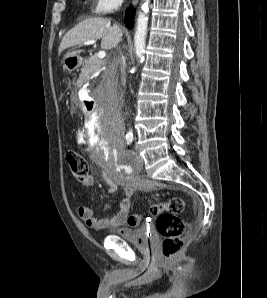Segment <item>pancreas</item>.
<instances>
[{
    "label": "pancreas",
    "instance_id": "pancreas-1",
    "mask_svg": "<svg viewBox=\"0 0 267 298\" xmlns=\"http://www.w3.org/2000/svg\"><path fill=\"white\" fill-rule=\"evenodd\" d=\"M104 63L105 62L103 60H100L96 56L91 57L89 60L86 61L85 65L82 67V73L80 75V78L83 81H88L91 78L92 74H94L96 71L102 68ZM112 97H114V94Z\"/></svg>",
    "mask_w": 267,
    "mask_h": 298
}]
</instances>
